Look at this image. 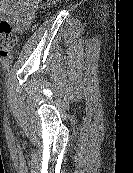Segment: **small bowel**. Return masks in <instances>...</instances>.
<instances>
[{"instance_id":"c3829d8e","label":"small bowel","mask_w":133,"mask_h":173,"mask_svg":"<svg viewBox=\"0 0 133 173\" xmlns=\"http://www.w3.org/2000/svg\"><path fill=\"white\" fill-rule=\"evenodd\" d=\"M37 0H0V16L6 15L16 32L25 31L35 17Z\"/></svg>"}]
</instances>
